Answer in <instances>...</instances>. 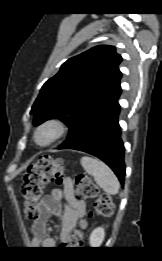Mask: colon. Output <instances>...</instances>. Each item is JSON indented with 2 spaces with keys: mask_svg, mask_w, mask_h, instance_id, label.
<instances>
[{
  "mask_svg": "<svg viewBox=\"0 0 162 261\" xmlns=\"http://www.w3.org/2000/svg\"><path fill=\"white\" fill-rule=\"evenodd\" d=\"M64 163L60 159L48 155L39 157L37 162L31 165L24 174L21 195L24 201V214L28 219L38 217V202L43 194L44 188L49 183L59 184L62 181ZM75 197L80 200L96 198L94 212L101 216H111L114 206L109 194H100L98 186L85 176L78 175L75 178ZM85 224V223H84ZM63 245L82 246L83 231H75Z\"/></svg>",
  "mask_w": 162,
  "mask_h": 261,
  "instance_id": "5ec220e1",
  "label": "colon"
}]
</instances>
